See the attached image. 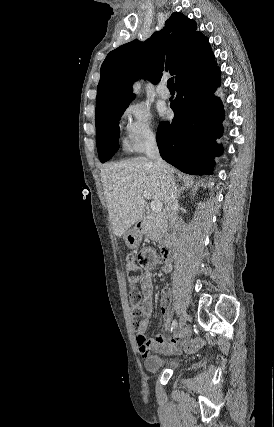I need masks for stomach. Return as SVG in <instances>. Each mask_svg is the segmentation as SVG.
Here are the masks:
<instances>
[{"label": "stomach", "mask_w": 274, "mask_h": 427, "mask_svg": "<svg viewBox=\"0 0 274 427\" xmlns=\"http://www.w3.org/2000/svg\"><path fill=\"white\" fill-rule=\"evenodd\" d=\"M142 233L140 227H137V225H134L132 229H128L126 233H124V239L126 245L128 247H131V249H134V247H138L141 239H142Z\"/></svg>", "instance_id": "1"}]
</instances>
